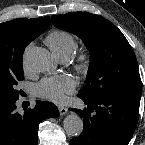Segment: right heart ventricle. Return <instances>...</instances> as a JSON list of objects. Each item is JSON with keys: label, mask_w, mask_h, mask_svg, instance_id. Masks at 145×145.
I'll return each mask as SVG.
<instances>
[{"label": "right heart ventricle", "mask_w": 145, "mask_h": 145, "mask_svg": "<svg viewBox=\"0 0 145 145\" xmlns=\"http://www.w3.org/2000/svg\"><path fill=\"white\" fill-rule=\"evenodd\" d=\"M45 41L53 53L59 58H68L77 47L75 37L70 32L61 29L50 31L46 35Z\"/></svg>", "instance_id": "obj_1"}]
</instances>
